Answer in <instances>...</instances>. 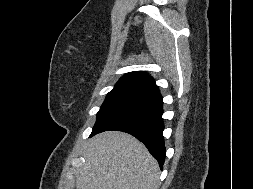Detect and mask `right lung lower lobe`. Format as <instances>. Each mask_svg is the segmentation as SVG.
<instances>
[{"mask_svg":"<svg viewBox=\"0 0 253 189\" xmlns=\"http://www.w3.org/2000/svg\"><path fill=\"white\" fill-rule=\"evenodd\" d=\"M162 105L158 90L149 93L107 116L94 126L90 136L108 130L130 133L144 143L162 169L165 160Z\"/></svg>","mask_w":253,"mask_h":189,"instance_id":"obj_1","label":"right lung lower lobe"}]
</instances>
